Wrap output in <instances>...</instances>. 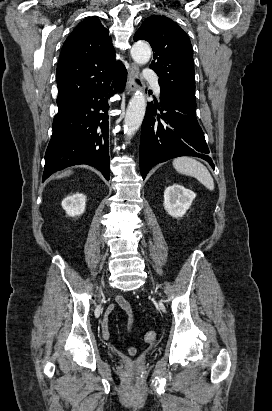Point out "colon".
I'll use <instances>...</instances> for the list:
<instances>
[{"label":"colon","instance_id":"1","mask_svg":"<svg viewBox=\"0 0 272 411\" xmlns=\"http://www.w3.org/2000/svg\"><path fill=\"white\" fill-rule=\"evenodd\" d=\"M156 340V333L154 331H148L144 335V341L147 343H152Z\"/></svg>","mask_w":272,"mask_h":411}]
</instances>
